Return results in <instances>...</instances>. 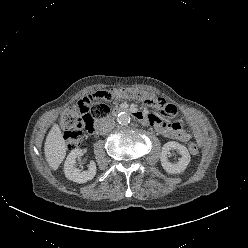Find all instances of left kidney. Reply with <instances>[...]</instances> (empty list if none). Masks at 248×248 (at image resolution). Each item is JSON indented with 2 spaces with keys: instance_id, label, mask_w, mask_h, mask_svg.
Segmentation results:
<instances>
[{
  "instance_id": "obj_1",
  "label": "left kidney",
  "mask_w": 248,
  "mask_h": 248,
  "mask_svg": "<svg viewBox=\"0 0 248 248\" xmlns=\"http://www.w3.org/2000/svg\"><path fill=\"white\" fill-rule=\"evenodd\" d=\"M171 150H176L180 155L179 161L177 163H171L168 157L171 155ZM191 160L190 154L187 148L175 141H169L162 147V152L160 155V161L163 169L172 174H179L184 172Z\"/></svg>"
}]
</instances>
